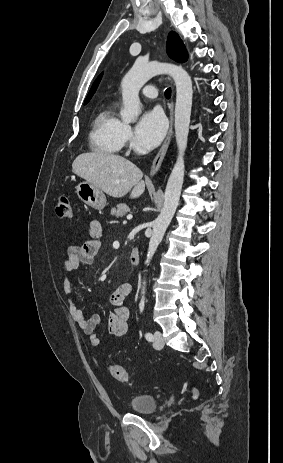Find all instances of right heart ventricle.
I'll list each match as a JSON object with an SVG mask.
<instances>
[{"label":"right heart ventricle","instance_id":"1","mask_svg":"<svg viewBox=\"0 0 283 463\" xmlns=\"http://www.w3.org/2000/svg\"><path fill=\"white\" fill-rule=\"evenodd\" d=\"M124 125L113 105L102 108L93 120L89 135L92 150L105 155L117 154L124 144Z\"/></svg>","mask_w":283,"mask_h":463}]
</instances>
